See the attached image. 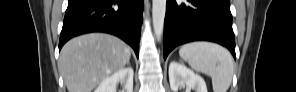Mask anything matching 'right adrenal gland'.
I'll return each mask as SVG.
<instances>
[{
	"label": "right adrenal gland",
	"instance_id": "right-adrenal-gland-1",
	"mask_svg": "<svg viewBox=\"0 0 296 92\" xmlns=\"http://www.w3.org/2000/svg\"><path fill=\"white\" fill-rule=\"evenodd\" d=\"M127 65L130 67V62H128Z\"/></svg>",
	"mask_w": 296,
	"mask_h": 92
}]
</instances>
